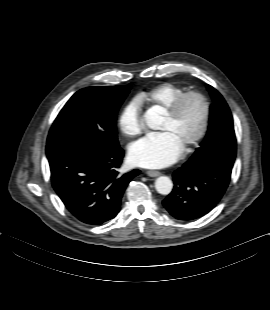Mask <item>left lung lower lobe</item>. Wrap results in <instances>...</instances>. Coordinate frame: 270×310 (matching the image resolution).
<instances>
[{"instance_id": "1", "label": "left lung lower lobe", "mask_w": 270, "mask_h": 310, "mask_svg": "<svg viewBox=\"0 0 270 310\" xmlns=\"http://www.w3.org/2000/svg\"><path fill=\"white\" fill-rule=\"evenodd\" d=\"M231 170L187 161L174 172V188L163 200L164 207L173 217L183 221L204 216L224 195L231 178Z\"/></svg>"}]
</instances>
